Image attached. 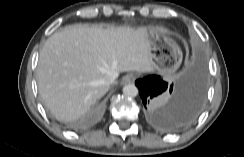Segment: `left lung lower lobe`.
Returning <instances> with one entry per match:
<instances>
[{
  "label": "left lung lower lobe",
  "mask_w": 244,
  "mask_h": 157,
  "mask_svg": "<svg viewBox=\"0 0 244 157\" xmlns=\"http://www.w3.org/2000/svg\"><path fill=\"white\" fill-rule=\"evenodd\" d=\"M135 84L149 121L161 130L182 129L194 121L203 107L206 75L202 64L192 67L174 83L149 75Z\"/></svg>",
  "instance_id": "1"
}]
</instances>
